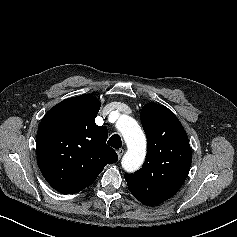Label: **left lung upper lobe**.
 <instances>
[{
    "instance_id": "obj_1",
    "label": "left lung upper lobe",
    "mask_w": 237,
    "mask_h": 237,
    "mask_svg": "<svg viewBox=\"0 0 237 237\" xmlns=\"http://www.w3.org/2000/svg\"><path fill=\"white\" fill-rule=\"evenodd\" d=\"M147 136L142 168L125 174L128 189L141 203L152 206L171 198L184 183L192 160L188 136L178 118L165 106L147 103L141 110Z\"/></svg>"
}]
</instances>
